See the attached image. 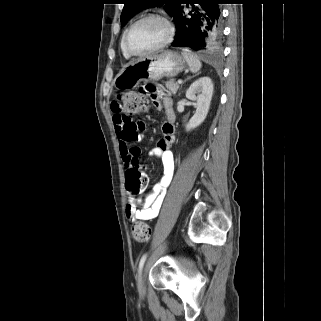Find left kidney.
<instances>
[{
    "label": "left kidney",
    "instance_id": "left-kidney-1",
    "mask_svg": "<svg viewBox=\"0 0 321 321\" xmlns=\"http://www.w3.org/2000/svg\"><path fill=\"white\" fill-rule=\"evenodd\" d=\"M213 94V83L209 77H201L193 82L186 91L189 100L196 101V112L186 124V131L201 125L205 120Z\"/></svg>",
    "mask_w": 321,
    "mask_h": 321
}]
</instances>
